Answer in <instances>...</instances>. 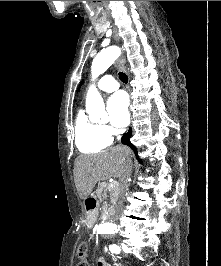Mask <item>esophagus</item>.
<instances>
[{
  "label": "esophagus",
  "instance_id": "34e87169",
  "mask_svg": "<svg viewBox=\"0 0 221 266\" xmlns=\"http://www.w3.org/2000/svg\"><path fill=\"white\" fill-rule=\"evenodd\" d=\"M113 34H114V39H115L116 41H118L119 38H118L117 30H116L115 28H113ZM117 65H118V67H119L120 69H122L127 75H129V74H128V71H127V69H126V66H125V59H124L122 56H120V57L118 58V60H117Z\"/></svg>",
  "mask_w": 221,
  "mask_h": 266
}]
</instances>
